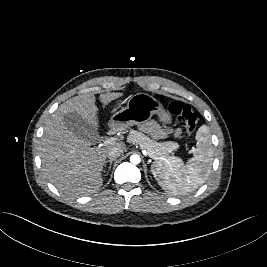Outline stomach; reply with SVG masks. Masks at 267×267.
Here are the masks:
<instances>
[{"mask_svg":"<svg viewBox=\"0 0 267 267\" xmlns=\"http://www.w3.org/2000/svg\"><path fill=\"white\" fill-rule=\"evenodd\" d=\"M155 114L164 125L170 124L172 121L171 115L165 111L156 98L146 93H136L128 97L126 107L116 112L111 117L109 124L125 129L132 125L145 123Z\"/></svg>","mask_w":267,"mask_h":267,"instance_id":"0dacf381","label":"stomach"}]
</instances>
